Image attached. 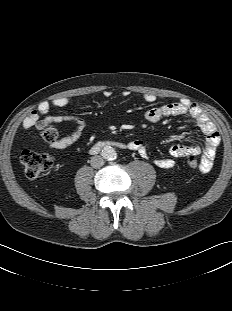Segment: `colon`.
Masks as SVG:
<instances>
[{"mask_svg": "<svg viewBox=\"0 0 232 311\" xmlns=\"http://www.w3.org/2000/svg\"><path fill=\"white\" fill-rule=\"evenodd\" d=\"M39 129L40 135L44 141L52 143L57 140V133L53 128L40 124ZM186 162L190 169H197L199 167L196 155H188ZM21 163L24 167L26 176L29 179H36L52 168L53 158L47 153L24 150L21 154Z\"/></svg>", "mask_w": 232, "mask_h": 311, "instance_id": "1", "label": "colon"}]
</instances>
